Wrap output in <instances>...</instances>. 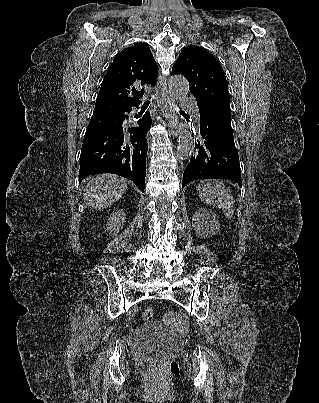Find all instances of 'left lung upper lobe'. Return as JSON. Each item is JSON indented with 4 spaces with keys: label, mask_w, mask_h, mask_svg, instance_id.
<instances>
[{
    "label": "left lung upper lobe",
    "mask_w": 319,
    "mask_h": 403,
    "mask_svg": "<svg viewBox=\"0 0 319 403\" xmlns=\"http://www.w3.org/2000/svg\"><path fill=\"white\" fill-rule=\"evenodd\" d=\"M173 74H183L197 104L223 103L230 105L228 84L218 60L207 50L188 46L172 68Z\"/></svg>",
    "instance_id": "1"
}]
</instances>
